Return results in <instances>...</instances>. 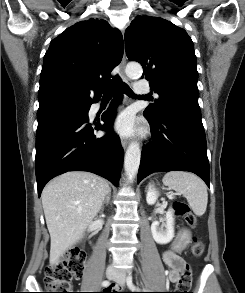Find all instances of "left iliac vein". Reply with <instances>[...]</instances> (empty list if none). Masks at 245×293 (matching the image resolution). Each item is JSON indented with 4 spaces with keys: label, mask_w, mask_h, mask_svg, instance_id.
Here are the masks:
<instances>
[{
    "label": "left iliac vein",
    "mask_w": 245,
    "mask_h": 293,
    "mask_svg": "<svg viewBox=\"0 0 245 293\" xmlns=\"http://www.w3.org/2000/svg\"><path fill=\"white\" fill-rule=\"evenodd\" d=\"M114 281L123 286L126 282V274L124 272H119L117 275L114 277Z\"/></svg>",
    "instance_id": "left-iliac-vein-1"
}]
</instances>
